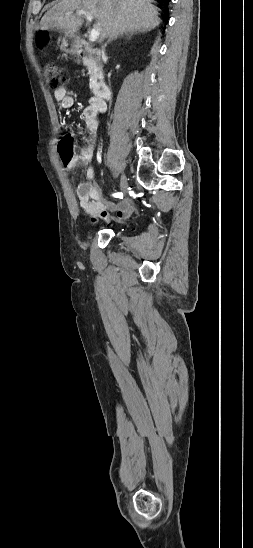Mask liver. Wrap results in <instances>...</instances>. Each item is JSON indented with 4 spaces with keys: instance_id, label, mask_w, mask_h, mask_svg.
I'll use <instances>...</instances> for the list:
<instances>
[{
    "instance_id": "6515ba94",
    "label": "liver",
    "mask_w": 253,
    "mask_h": 548,
    "mask_svg": "<svg viewBox=\"0 0 253 548\" xmlns=\"http://www.w3.org/2000/svg\"><path fill=\"white\" fill-rule=\"evenodd\" d=\"M77 10L90 12L97 19L100 41L125 32H147L161 22L151 0H61L40 21L42 31L58 29L74 35L84 23Z\"/></svg>"
}]
</instances>
